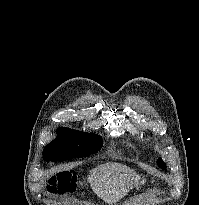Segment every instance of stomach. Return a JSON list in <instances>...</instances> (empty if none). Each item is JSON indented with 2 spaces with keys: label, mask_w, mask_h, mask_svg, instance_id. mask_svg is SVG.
<instances>
[{
  "label": "stomach",
  "mask_w": 199,
  "mask_h": 205,
  "mask_svg": "<svg viewBox=\"0 0 199 205\" xmlns=\"http://www.w3.org/2000/svg\"><path fill=\"white\" fill-rule=\"evenodd\" d=\"M144 182H145V180L142 179L141 176H139L136 173L129 180L130 187H132L133 185L138 187L141 184H144Z\"/></svg>",
  "instance_id": "1"
}]
</instances>
